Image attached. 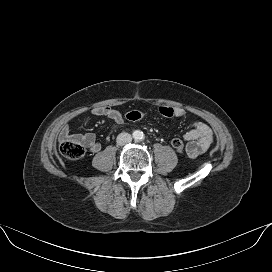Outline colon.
<instances>
[{
	"label": "colon",
	"instance_id": "5ec220e1",
	"mask_svg": "<svg viewBox=\"0 0 272 272\" xmlns=\"http://www.w3.org/2000/svg\"><path fill=\"white\" fill-rule=\"evenodd\" d=\"M159 113L165 118H172L175 116V109L169 106H161ZM147 117V113L140 110H131L126 113V119L130 122H138ZM173 148L181 153L184 150V142L181 139H174L172 141ZM60 153L67 159L76 160L82 157L85 153L84 146L76 141L67 140L60 144Z\"/></svg>",
	"mask_w": 272,
	"mask_h": 272
}]
</instances>
